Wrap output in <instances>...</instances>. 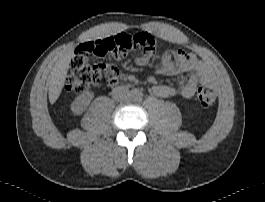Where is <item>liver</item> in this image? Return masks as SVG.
Returning a JSON list of instances; mask_svg holds the SVG:
<instances>
[{"instance_id":"6515ba94","label":"liver","mask_w":265,"mask_h":202,"mask_svg":"<svg viewBox=\"0 0 265 202\" xmlns=\"http://www.w3.org/2000/svg\"><path fill=\"white\" fill-rule=\"evenodd\" d=\"M73 54V49L63 54L51 71L49 80V101L51 104H54L61 94Z\"/></svg>"}]
</instances>
